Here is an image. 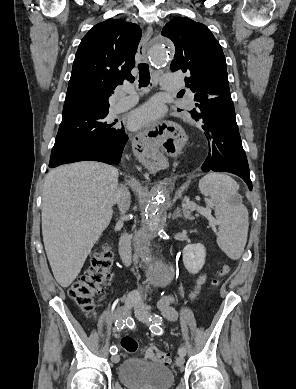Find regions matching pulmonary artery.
I'll return each instance as SVG.
<instances>
[{
	"mask_svg": "<svg viewBox=\"0 0 296 389\" xmlns=\"http://www.w3.org/2000/svg\"><path fill=\"white\" fill-rule=\"evenodd\" d=\"M161 85L163 89L176 91L182 88V83L173 75L166 74L161 77ZM127 95L121 97L114 107L115 112H122L132 107L138 100L134 91L131 89L125 90Z\"/></svg>",
	"mask_w": 296,
	"mask_h": 389,
	"instance_id": "1",
	"label": "pulmonary artery"
}]
</instances>
